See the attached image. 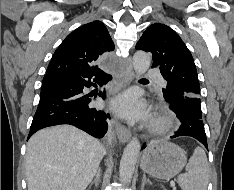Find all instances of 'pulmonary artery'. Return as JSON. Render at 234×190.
Returning <instances> with one entry per match:
<instances>
[{
    "label": "pulmonary artery",
    "mask_w": 234,
    "mask_h": 190,
    "mask_svg": "<svg viewBox=\"0 0 234 190\" xmlns=\"http://www.w3.org/2000/svg\"><path fill=\"white\" fill-rule=\"evenodd\" d=\"M146 75L149 78H155V79H157V81L159 82L160 85H165V81L162 78L159 77L156 69H154V68H148L146 70Z\"/></svg>",
    "instance_id": "obj_1"
}]
</instances>
